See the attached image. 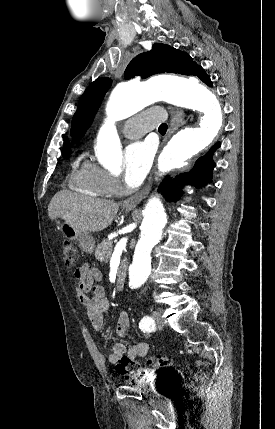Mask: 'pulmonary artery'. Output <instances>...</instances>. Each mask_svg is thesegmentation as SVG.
<instances>
[{"instance_id":"e3ab8cb5","label":"pulmonary artery","mask_w":275,"mask_h":429,"mask_svg":"<svg viewBox=\"0 0 275 429\" xmlns=\"http://www.w3.org/2000/svg\"><path fill=\"white\" fill-rule=\"evenodd\" d=\"M164 120L165 114L161 109H147L126 122L123 128V134L130 139L141 137Z\"/></svg>"}]
</instances>
